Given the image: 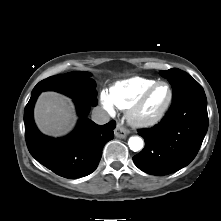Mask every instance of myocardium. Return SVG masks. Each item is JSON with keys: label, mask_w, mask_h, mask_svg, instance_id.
<instances>
[{"label": "myocardium", "mask_w": 221, "mask_h": 221, "mask_svg": "<svg viewBox=\"0 0 221 221\" xmlns=\"http://www.w3.org/2000/svg\"><path fill=\"white\" fill-rule=\"evenodd\" d=\"M160 85H165L168 88L169 95L166 103L161 110L153 116H145L142 113L143 107L147 102L152 92ZM173 89L171 85L166 81H156L150 87H148L135 101V103L129 108L128 118L130 122L140 128H148L158 124L166 116L173 102Z\"/></svg>", "instance_id": "obj_1"}]
</instances>
